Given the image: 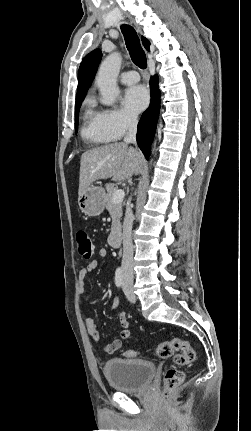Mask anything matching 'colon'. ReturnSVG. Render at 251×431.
<instances>
[{"instance_id": "obj_1", "label": "colon", "mask_w": 251, "mask_h": 431, "mask_svg": "<svg viewBox=\"0 0 251 431\" xmlns=\"http://www.w3.org/2000/svg\"><path fill=\"white\" fill-rule=\"evenodd\" d=\"M76 240L79 254L85 259L91 258L94 253V245L89 234L85 230H79ZM175 352L178 353L174 355ZM137 353L135 350H127L124 352V356L133 358ZM156 354L160 358H169L174 355V363L178 366L188 365L195 359V351L189 341L179 337L158 344ZM183 379L184 373L180 369L176 367L166 369L163 375L164 396L169 397L172 391L183 382Z\"/></svg>"}]
</instances>
